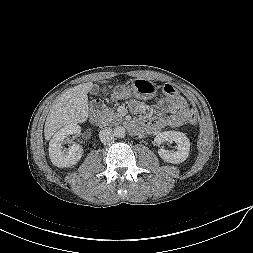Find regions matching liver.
I'll use <instances>...</instances> for the list:
<instances>
[{
	"label": "liver",
	"mask_w": 253,
	"mask_h": 253,
	"mask_svg": "<svg viewBox=\"0 0 253 253\" xmlns=\"http://www.w3.org/2000/svg\"><path fill=\"white\" fill-rule=\"evenodd\" d=\"M103 83V82H102ZM93 83L87 82L69 88L57 97L46 118L45 139L49 140L62 126L84 123L89 117L88 92Z\"/></svg>",
	"instance_id": "liver-1"
}]
</instances>
